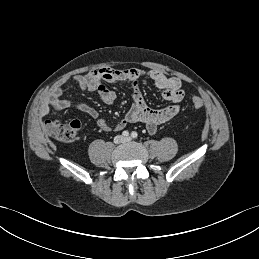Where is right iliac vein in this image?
I'll list each match as a JSON object with an SVG mask.
<instances>
[{"label":"right iliac vein","mask_w":259,"mask_h":259,"mask_svg":"<svg viewBox=\"0 0 259 259\" xmlns=\"http://www.w3.org/2000/svg\"><path fill=\"white\" fill-rule=\"evenodd\" d=\"M124 141L123 137L122 136H116L114 138V143L115 144H119V143H122Z\"/></svg>","instance_id":"1"}]
</instances>
